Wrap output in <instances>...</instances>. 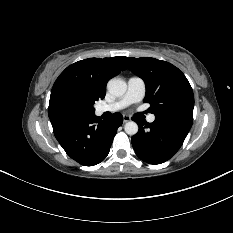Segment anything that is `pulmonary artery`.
<instances>
[{"label":"pulmonary artery","mask_w":233,"mask_h":233,"mask_svg":"<svg viewBox=\"0 0 233 233\" xmlns=\"http://www.w3.org/2000/svg\"><path fill=\"white\" fill-rule=\"evenodd\" d=\"M146 92V86L144 81L137 76L130 77L127 81V91L118 100L103 104L96 108V113L101 115L106 112H117L120 111L133 103L140 102ZM148 122L152 123L155 121V115L151 114L147 118Z\"/></svg>","instance_id":"e3ab8cb5"}]
</instances>
